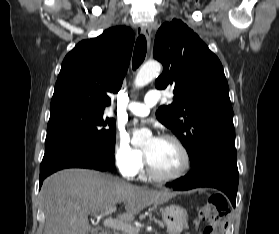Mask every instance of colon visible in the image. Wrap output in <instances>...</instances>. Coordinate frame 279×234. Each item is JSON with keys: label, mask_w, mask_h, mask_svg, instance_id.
<instances>
[{"label": "colon", "mask_w": 279, "mask_h": 234, "mask_svg": "<svg viewBox=\"0 0 279 234\" xmlns=\"http://www.w3.org/2000/svg\"><path fill=\"white\" fill-rule=\"evenodd\" d=\"M229 205L221 195H212L202 205L198 212V219L205 223L203 234H224L227 228Z\"/></svg>", "instance_id": "5ec220e1"}]
</instances>
